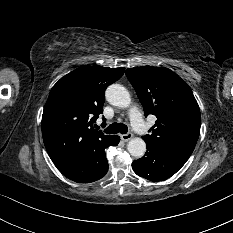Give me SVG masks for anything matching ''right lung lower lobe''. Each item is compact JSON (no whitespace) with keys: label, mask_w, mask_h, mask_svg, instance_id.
Wrapping results in <instances>:
<instances>
[{"label":"right lung lower lobe","mask_w":233,"mask_h":233,"mask_svg":"<svg viewBox=\"0 0 233 233\" xmlns=\"http://www.w3.org/2000/svg\"><path fill=\"white\" fill-rule=\"evenodd\" d=\"M120 139L114 136L109 146H117ZM105 148L95 150L77 157L55 164L58 170L67 178L78 183H90L104 177L108 171V162L106 159Z\"/></svg>","instance_id":"obj_1"}]
</instances>
